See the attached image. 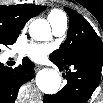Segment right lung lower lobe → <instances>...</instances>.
Instances as JSON below:
<instances>
[{"instance_id": "obj_1", "label": "right lung lower lobe", "mask_w": 103, "mask_h": 103, "mask_svg": "<svg viewBox=\"0 0 103 103\" xmlns=\"http://www.w3.org/2000/svg\"><path fill=\"white\" fill-rule=\"evenodd\" d=\"M34 77V63L28 58L11 69L0 63V103H14L19 88Z\"/></svg>"}]
</instances>
